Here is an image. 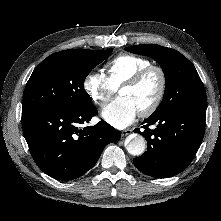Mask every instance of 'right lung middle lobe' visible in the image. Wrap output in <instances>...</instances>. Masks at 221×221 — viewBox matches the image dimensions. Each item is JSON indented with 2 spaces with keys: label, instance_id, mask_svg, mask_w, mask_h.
I'll return each instance as SVG.
<instances>
[{
  "label": "right lung middle lobe",
  "instance_id": "dd1d6c3e",
  "mask_svg": "<svg viewBox=\"0 0 221 221\" xmlns=\"http://www.w3.org/2000/svg\"><path fill=\"white\" fill-rule=\"evenodd\" d=\"M111 52L73 49L48 56L26 84L22 109L79 111L94 106L84 90V80Z\"/></svg>",
  "mask_w": 221,
  "mask_h": 221
}]
</instances>
